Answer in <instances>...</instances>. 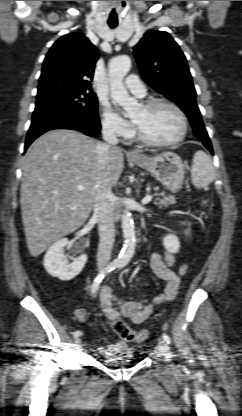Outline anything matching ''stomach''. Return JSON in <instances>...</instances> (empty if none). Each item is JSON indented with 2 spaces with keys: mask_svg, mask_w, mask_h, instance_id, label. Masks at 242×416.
<instances>
[{
  "mask_svg": "<svg viewBox=\"0 0 242 416\" xmlns=\"http://www.w3.org/2000/svg\"><path fill=\"white\" fill-rule=\"evenodd\" d=\"M131 162L149 171L164 187L172 192L181 189L185 167L181 158L173 152H163L154 157L143 156Z\"/></svg>",
  "mask_w": 242,
  "mask_h": 416,
  "instance_id": "1",
  "label": "stomach"
}]
</instances>
